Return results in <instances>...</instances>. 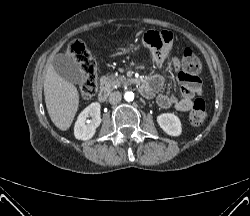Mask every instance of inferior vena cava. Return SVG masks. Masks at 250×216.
Returning a JSON list of instances; mask_svg holds the SVG:
<instances>
[{
  "instance_id": "602c4592",
  "label": "inferior vena cava",
  "mask_w": 250,
  "mask_h": 216,
  "mask_svg": "<svg viewBox=\"0 0 250 216\" xmlns=\"http://www.w3.org/2000/svg\"><path fill=\"white\" fill-rule=\"evenodd\" d=\"M122 99V95L120 92L116 91V92H112L109 96V102L110 104H117L121 101Z\"/></svg>"
}]
</instances>
